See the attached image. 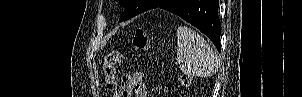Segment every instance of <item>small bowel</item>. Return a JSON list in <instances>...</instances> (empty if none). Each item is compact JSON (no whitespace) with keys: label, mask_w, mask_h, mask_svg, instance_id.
<instances>
[{"label":"small bowel","mask_w":302,"mask_h":97,"mask_svg":"<svg viewBox=\"0 0 302 97\" xmlns=\"http://www.w3.org/2000/svg\"><path fill=\"white\" fill-rule=\"evenodd\" d=\"M114 97H147L143 74L141 72L124 74L121 80L120 90Z\"/></svg>","instance_id":"c3829d8e"}]
</instances>
